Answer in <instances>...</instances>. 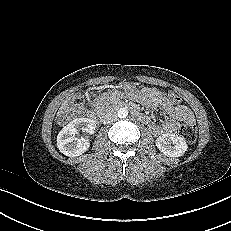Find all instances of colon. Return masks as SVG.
I'll return each instance as SVG.
<instances>
[{
	"instance_id": "colon-1",
	"label": "colon",
	"mask_w": 231,
	"mask_h": 231,
	"mask_svg": "<svg viewBox=\"0 0 231 231\" xmlns=\"http://www.w3.org/2000/svg\"><path fill=\"white\" fill-rule=\"evenodd\" d=\"M169 101L173 104H180V97L174 93L169 92ZM84 105V98L81 95H75L67 106L60 112L58 122L61 124L67 123L72 118L78 116ZM180 135L188 142H194L197 137V127L194 123H185L179 129Z\"/></svg>"
}]
</instances>
